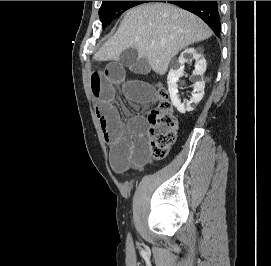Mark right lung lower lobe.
<instances>
[{
  "label": "right lung lower lobe",
  "instance_id": "right-lung-lower-lobe-1",
  "mask_svg": "<svg viewBox=\"0 0 271 266\" xmlns=\"http://www.w3.org/2000/svg\"><path fill=\"white\" fill-rule=\"evenodd\" d=\"M169 2L199 16L214 33L220 36V17L217 1H150Z\"/></svg>",
  "mask_w": 271,
  "mask_h": 266
}]
</instances>
